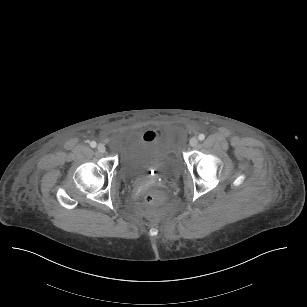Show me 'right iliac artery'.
Masks as SVG:
<instances>
[{"label": "right iliac artery", "instance_id": "1", "mask_svg": "<svg viewBox=\"0 0 307 307\" xmlns=\"http://www.w3.org/2000/svg\"><path fill=\"white\" fill-rule=\"evenodd\" d=\"M96 145H97V144H96V142H95V141H92V142L90 143V146H91V147H93V148H95V147H96Z\"/></svg>", "mask_w": 307, "mask_h": 307}]
</instances>
